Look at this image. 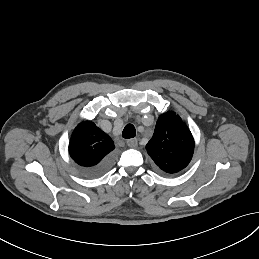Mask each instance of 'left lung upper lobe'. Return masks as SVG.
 <instances>
[{"instance_id": "obj_1", "label": "left lung upper lobe", "mask_w": 259, "mask_h": 259, "mask_svg": "<svg viewBox=\"0 0 259 259\" xmlns=\"http://www.w3.org/2000/svg\"><path fill=\"white\" fill-rule=\"evenodd\" d=\"M146 150L163 173L175 174L191 161L194 139L181 118L169 111L158 118Z\"/></svg>"}]
</instances>
